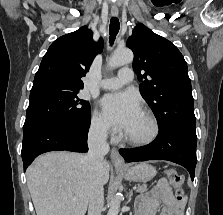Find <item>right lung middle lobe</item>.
<instances>
[{
    "instance_id": "dd1d6c3e",
    "label": "right lung middle lobe",
    "mask_w": 223,
    "mask_h": 215,
    "mask_svg": "<svg viewBox=\"0 0 223 215\" xmlns=\"http://www.w3.org/2000/svg\"><path fill=\"white\" fill-rule=\"evenodd\" d=\"M71 91L30 93V103L23 130L45 124L90 127V104Z\"/></svg>"
}]
</instances>
